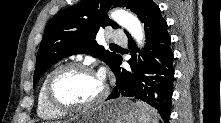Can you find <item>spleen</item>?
<instances>
[{"mask_svg":"<svg viewBox=\"0 0 221 123\" xmlns=\"http://www.w3.org/2000/svg\"><path fill=\"white\" fill-rule=\"evenodd\" d=\"M138 110V123H159L158 112L142 101L136 102Z\"/></svg>","mask_w":221,"mask_h":123,"instance_id":"3e777b00","label":"spleen"}]
</instances>
